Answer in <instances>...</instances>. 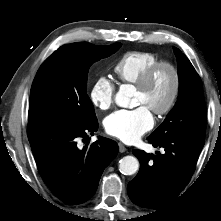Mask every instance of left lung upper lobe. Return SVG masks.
Masks as SVG:
<instances>
[{"instance_id": "left-lung-upper-lobe-1", "label": "left lung upper lobe", "mask_w": 221, "mask_h": 221, "mask_svg": "<svg viewBox=\"0 0 221 221\" xmlns=\"http://www.w3.org/2000/svg\"><path fill=\"white\" fill-rule=\"evenodd\" d=\"M178 59L180 89L178 100L164 122L149 136L163 139L188 136L205 139L206 108L199 75L182 52L174 47Z\"/></svg>"}]
</instances>
